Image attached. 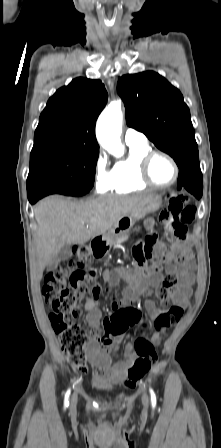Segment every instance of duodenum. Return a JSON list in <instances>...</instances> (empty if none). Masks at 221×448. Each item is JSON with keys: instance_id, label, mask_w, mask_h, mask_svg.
Here are the masks:
<instances>
[{"instance_id": "410a0bca", "label": "duodenum", "mask_w": 221, "mask_h": 448, "mask_svg": "<svg viewBox=\"0 0 221 448\" xmlns=\"http://www.w3.org/2000/svg\"><path fill=\"white\" fill-rule=\"evenodd\" d=\"M91 253L95 258H102L105 256L109 242L105 236H97L91 241Z\"/></svg>"}]
</instances>
